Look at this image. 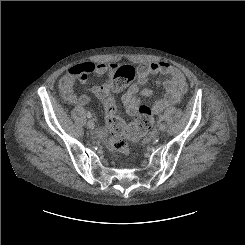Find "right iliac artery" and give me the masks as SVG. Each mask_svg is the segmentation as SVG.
I'll use <instances>...</instances> for the list:
<instances>
[{
  "label": "right iliac artery",
  "instance_id": "right-iliac-artery-1",
  "mask_svg": "<svg viewBox=\"0 0 245 245\" xmlns=\"http://www.w3.org/2000/svg\"><path fill=\"white\" fill-rule=\"evenodd\" d=\"M87 117L88 118H91L92 117V114L89 111L87 112Z\"/></svg>",
  "mask_w": 245,
  "mask_h": 245
}]
</instances>
